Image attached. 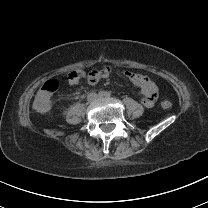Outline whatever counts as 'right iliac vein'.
Here are the masks:
<instances>
[{
  "label": "right iliac vein",
  "mask_w": 208,
  "mask_h": 208,
  "mask_svg": "<svg viewBox=\"0 0 208 208\" xmlns=\"http://www.w3.org/2000/svg\"><path fill=\"white\" fill-rule=\"evenodd\" d=\"M96 98V96L95 95H92L91 97H90V100H93V99H95Z\"/></svg>",
  "instance_id": "1"
}]
</instances>
